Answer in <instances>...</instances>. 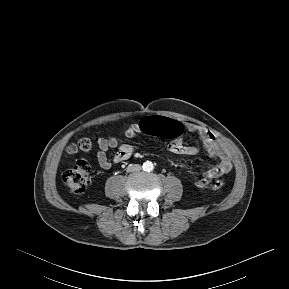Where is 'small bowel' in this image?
<instances>
[{
	"instance_id": "obj_1",
	"label": "small bowel",
	"mask_w": 289,
	"mask_h": 289,
	"mask_svg": "<svg viewBox=\"0 0 289 289\" xmlns=\"http://www.w3.org/2000/svg\"><path fill=\"white\" fill-rule=\"evenodd\" d=\"M180 123L182 126V132L177 136L172 137L169 144L170 151L178 155H194L198 153L199 146L197 144H187L183 140L184 132H191L198 135L208 154L217 160V164L215 166L206 170L202 174L201 178L197 182L198 187H204L213 179L218 178L231 170L232 161L230 154L212 132L194 123ZM138 126L139 123L124 126L120 132V135L127 138H132L141 133ZM96 143L98 146V151L96 153L97 162L103 169H109L113 164L129 159L134 152L133 146L129 144H120L117 136L98 138ZM111 149L116 150V153L112 158H110L108 155V152Z\"/></svg>"
}]
</instances>
